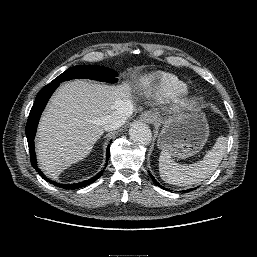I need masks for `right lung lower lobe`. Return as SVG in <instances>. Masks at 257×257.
Instances as JSON below:
<instances>
[{
    "label": "right lung lower lobe",
    "instance_id": "obj_1",
    "mask_svg": "<svg viewBox=\"0 0 257 257\" xmlns=\"http://www.w3.org/2000/svg\"><path fill=\"white\" fill-rule=\"evenodd\" d=\"M58 86H59V83H50L39 91V93L36 96L35 102L31 108L25 131H26V136H27V141H28V146L30 151L31 164L36 169V171L40 174V176L43 179L50 182L51 184H54L55 186L62 187L64 189H76V188L85 187L93 183L94 181H96L102 175L104 170H101L96 176L83 182L73 183V184H59L45 177V175L37 167V160L35 156L34 137L36 133L37 124L41 116V113L46 106L48 99L50 98V96ZM109 157H110V145L107 147V152H106V164H105L106 166H107Z\"/></svg>",
    "mask_w": 257,
    "mask_h": 257
}]
</instances>
